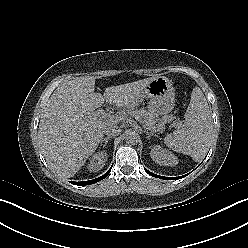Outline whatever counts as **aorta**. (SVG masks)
<instances>
[{
	"mask_svg": "<svg viewBox=\"0 0 248 248\" xmlns=\"http://www.w3.org/2000/svg\"><path fill=\"white\" fill-rule=\"evenodd\" d=\"M140 136L135 131H129L125 135V141L128 144L135 145L139 142Z\"/></svg>",
	"mask_w": 248,
	"mask_h": 248,
	"instance_id": "762f6f07",
	"label": "aorta"
}]
</instances>
